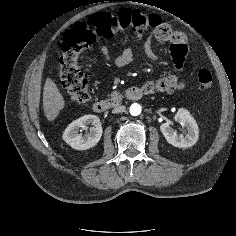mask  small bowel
Listing matches in <instances>:
<instances>
[{
    "mask_svg": "<svg viewBox=\"0 0 236 236\" xmlns=\"http://www.w3.org/2000/svg\"><path fill=\"white\" fill-rule=\"evenodd\" d=\"M177 34L178 38L175 41L171 42V52L173 65L179 71L184 65L186 54L188 52V46L185 36L180 33ZM143 50L145 55L151 61L158 62L160 60L159 56L153 49L152 39L150 37L145 40ZM101 52L104 55L105 59L111 62L117 68H121L130 64L134 58V50L132 48H126L118 55L112 56L110 54V49L108 45L103 44L101 46ZM143 87L148 94L154 92L174 93L181 90L183 84L180 81L178 73H174L161 77L157 80L150 81L146 83Z\"/></svg>",
    "mask_w": 236,
    "mask_h": 236,
    "instance_id": "c3829d8e",
    "label": "small bowel"
}]
</instances>
